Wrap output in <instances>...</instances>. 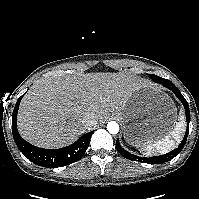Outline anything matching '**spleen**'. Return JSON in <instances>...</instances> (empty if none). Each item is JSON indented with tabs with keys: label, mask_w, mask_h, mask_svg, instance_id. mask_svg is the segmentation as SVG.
<instances>
[{
	"label": "spleen",
	"mask_w": 199,
	"mask_h": 199,
	"mask_svg": "<svg viewBox=\"0 0 199 199\" xmlns=\"http://www.w3.org/2000/svg\"><path fill=\"white\" fill-rule=\"evenodd\" d=\"M182 124L177 123L172 132L155 141H146L140 144H135L140 152H143L147 155L157 154V153H166L171 150L175 145L181 140V134L183 129L181 128Z\"/></svg>",
	"instance_id": "1"
}]
</instances>
